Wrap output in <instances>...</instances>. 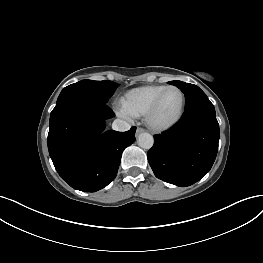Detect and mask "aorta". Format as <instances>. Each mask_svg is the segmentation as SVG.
I'll use <instances>...</instances> for the list:
<instances>
[{
  "label": "aorta",
  "instance_id": "762f6f07",
  "mask_svg": "<svg viewBox=\"0 0 263 263\" xmlns=\"http://www.w3.org/2000/svg\"><path fill=\"white\" fill-rule=\"evenodd\" d=\"M154 139L149 133H141L138 136V145L143 149H150L153 146Z\"/></svg>",
  "mask_w": 263,
  "mask_h": 263
}]
</instances>
